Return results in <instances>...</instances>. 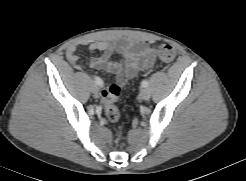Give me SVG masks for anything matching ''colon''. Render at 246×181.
<instances>
[{
  "instance_id": "obj_1",
  "label": "colon",
  "mask_w": 246,
  "mask_h": 181,
  "mask_svg": "<svg viewBox=\"0 0 246 181\" xmlns=\"http://www.w3.org/2000/svg\"><path fill=\"white\" fill-rule=\"evenodd\" d=\"M157 56L162 62L169 63L172 62L176 57V51L173 46L170 44H161L155 50ZM121 96V88L117 84H113L103 90L102 92V100L104 104V111L106 117L115 122L119 119V110L117 107V103L120 100ZM122 136V131L117 129L115 131V141L119 143Z\"/></svg>"
}]
</instances>
